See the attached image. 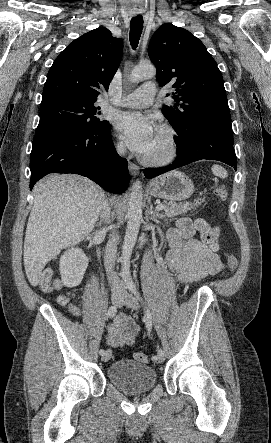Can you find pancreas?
I'll return each mask as SVG.
<instances>
[{"mask_svg": "<svg viewBox=\"0 0 271 443\" xmlns=\"http://www.w3.org/2000/svg\"><path fill=\"white\" fill-rule=\"evenodd\" d=\"M205 202L204 198L200 200L197 198L195 200V204H191V202H184V204H176V202H165L166 206L163 210V218H174V216H180V214H187L189 210L192 208H196V206H201Z\"/></svg>", "mask_w": 271, "mask_h": 443, "instance_id": "pancreas-1", "label": "pancreas"}]
</instances>
